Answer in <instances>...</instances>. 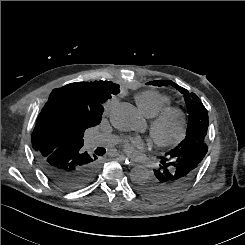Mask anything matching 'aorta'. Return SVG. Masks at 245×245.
<instances>
[{
	"instance_id": "obj_1",
	"label": "aorta",
	"mask_w": 245,
	"mask_h": 245,
	"mask_svg": "<svg viewBox=\"0 0 245 245\" xmlns=\"http://www.w3.org/2000/svg\"><path fill=\"white\" fill-rule=\"evenodd\" d=\"M112 125L121 131L140 130L144 121L135 106L130 103L122 102L117 104L110 114ZM153 173L144 167L138 166L131 171V178L136 183H143L152 178Z\"/></svg>"
}]
</instances>
